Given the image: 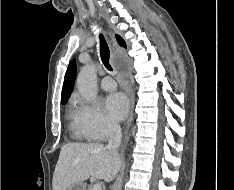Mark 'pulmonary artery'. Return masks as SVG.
Masks as SVG:
<instances>
[{
    "label": "pulmonary artery",
    "mask_w": 234,
    "mask_h": 190,
    "mask_svg": "<svg viewBox=\"0 0 234 190\" xmlns=\"http://www.w3.org/2000/svg\"><path fill=\"white\" fill-rule=\"evenodd\" d=\"M101 87L106 91H113L116 89L117 84L111 76H105L101 81Z\"/></svg>",
    "instance_id": "obj_1"
}]
</instances>
